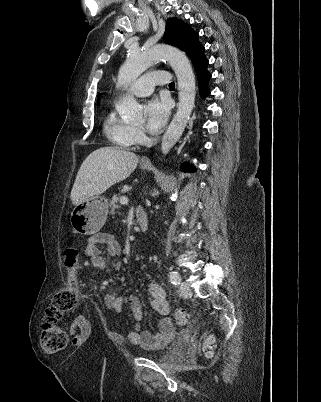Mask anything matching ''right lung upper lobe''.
Returning a JSON list of instances; mask_svg holds the SVG:
<instances>
[{
  "label": "right lung upper lobe",
  "instance_id": "obj_1",
  "mask_svg": "<svg viewBox=\"0 0 321 402\" xmlns=\"http://www.w3.org/2000/svg\"><path fill=\"white\" fill-rule=\"evenodd\" d=\"M99 101H100V95H98V98H97L98 105H99Z\"/></svg>",
  "mask_w": 321,
  "mask_h": 402
}]
</instances>
